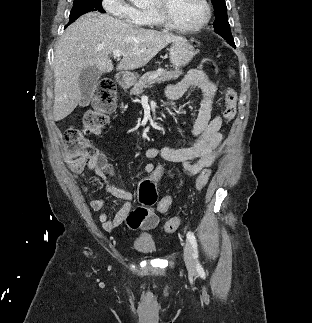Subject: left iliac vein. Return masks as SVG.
I'll list each match as a JSON object with an SVG mask.
<instances>
[{
    "instance_id": "4c4485c4",
    "label": "left iliac vein",
    "mask_w": 312,
    "mask_h": 323,
    "mask_svg": "<svg viewBox=\"0 0 312 323\" xmlns=\"http://www.w3.org/2000/svg\"><path fill=\"white\" fill-rule=\"evenodd\" d=\"M184 260L187 266V269L190 271H195V262H194V253L192 245L186 241L184 244Z\"/></svg>"
}]
</instances>
